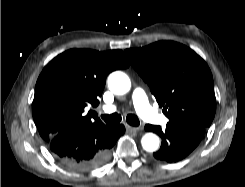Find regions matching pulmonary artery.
Segmentation results:
<instances>
[{
	"label": "pulmonary artery",
	"mask_w": 245,
	"mask_h": 187,
	"mask_svg": "<svg viewBox=\"0 0 245 187\" xmlns=\"http://www.w3.org/2000/svg\"><path fill=\"white\" fill-rule=\"evenodd\" d=\"M132 102L136 112L145 120L154 124H165L168 120L151 107L145 92L141 88H135L132 92ZM105 113H113L116 107L107 105L103 108Z\"/></svg>",
	"instance_id": "1"
}]
</instances>
